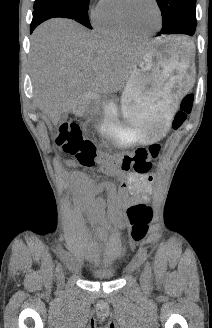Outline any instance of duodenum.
I'll list each match as a JSON object with an SVG mask.
<instances>
[{
	"mask_svg": "<svg viewBox=\"0 0 212 328\" xmlns=\"http://www.w3.org/2000/svg\"><path fill=\"white\" fill-rule=\"evenodd\" d=\"M93 100V95L90 93L83 94L75 103L74 110L76 112H82L85 106Z\"/></svg>",
	"mask_w": 212,
	"mask_h": 328,
	"instance_id": "1",
	"label": "duodenum"
}]
</instances>
